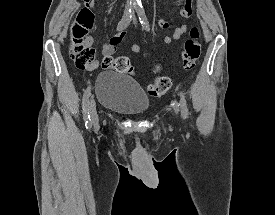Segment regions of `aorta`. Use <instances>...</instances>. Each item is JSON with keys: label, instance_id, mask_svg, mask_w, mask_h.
I'll use <instances>...</instances> for the list:
<instances>
[{"label": "aorta", "instance_id": "aorta-1", "mask_svg": "<svg viewBox=\"0 0 275 215\" xmlns=\"http://www.w3.org/2000/svg\"><path fill=\"white\" fill-rule=\"evenodd\" d=\"M133 5H138L141 3V0H131Z\"/></svg>", "mask_w": 275, "mask_h": 215}]
</instances>
